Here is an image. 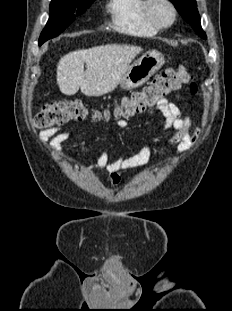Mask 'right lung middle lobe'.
<instances>
[{"mask_svg":"<svg viewBox=\"0 0 232 311\" xmlns=\"http://www.w3.org/2000/svg\"><path fill=\"white\" fill-rule=\"evenodd\" d=\"M95 0H52L50 17L43 29L39 45L62 33L74 19L81 15Z\"/></svg>","mask_w":232,"mask_h":311,"instance_id":"obj_1","label":"right lung middle lobe"}]
</instances>
